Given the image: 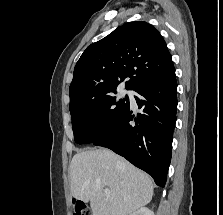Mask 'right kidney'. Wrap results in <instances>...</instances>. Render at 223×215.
<instances>
[{
	"instance_id": "ca27d5eb",
	"label": "right kidney",
	"mask_w": 223,
	"mask_h": 215,
	"mask_svg": "<svg viewBox=\"0 0 223 215\" xmlns=\"http://www.w3.org/2000/svg\"><path fill=\"white\" fill-rule=\"evenodd\" d=\"M130 215H154V211H151L148 207H139L137 211H133Z\"/></svg>"
}]
</instances>
